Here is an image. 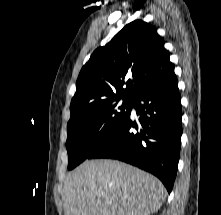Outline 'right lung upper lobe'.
<instances>
[{
	"instance_id": "obj_1",
	"label": "right lung upper lobe",
	"mask_w": 221,
	"mask_h": 215,
	"mask_svg": "<svg viewBox=\"0 0 221 215\" xmlns=\"http://www.w3.org/2000/svg\"><path fill=\"white\" fill-rule=\"evenodd\" d=\"M174 73L169 53L155 27L134 20L82 67L71 105L131 99Z\"/></svg>"
}]
</instances>
